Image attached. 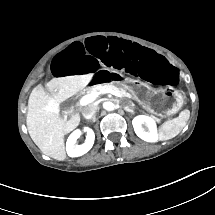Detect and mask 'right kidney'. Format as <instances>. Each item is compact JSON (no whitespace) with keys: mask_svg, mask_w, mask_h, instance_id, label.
<instances>
[{"mask_svg":"<svg viewBox=\"0 0 215 215\" xmlns=\"http://www.w3.org/2000/svg\"><path fill=\"white\" fill-rule=\"evenodd\" d=\"M81 136V130H74L68 137L66 142V152L69 157H78L87 153L94 143V133L92 130H88L86 140L83 144L77 145L76 139Z\"/></svg>","mask_w":215,"mask_h":215,"instance_id":"1","label":"right kidney"}]
</instances>
